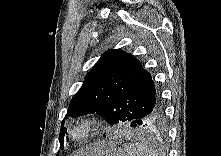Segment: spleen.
Wrapping results in <instances>:
<instances>
[{"instance_id":"1","label":"spleen","mask_w":221,"mask_h":156,"mask_svg":"<svg viewBox=\"0 0 221 156\" xmlns=\"http://www.w3.org/2000/svg\"><path fill=\"white\" fill-rule=\"evenodd\" d=\"M127 156H157V153L151 147L143 143H128L124 145Z\"/></svg>"}]
</instances>
